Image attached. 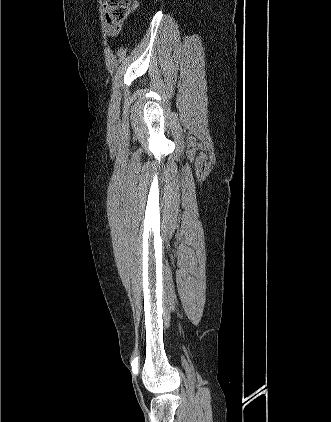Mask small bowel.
Here are the masks:
<instances>
[{
	"label": "small bowel",
	"mask_w": 331,
	"mask_h": 422,
	"mask_svg": "<svg viewBox=\"0 0 331 422\" xmlns=\"http://www.w3.org/2000/svg\"><path fill=\"white\" fill-rule=\"evenodd\" d=\"M104 8H105V10L108 9L106 3L104 4ZM107 20H108L109 35H111L113 37L117 36L122 30V24L112 21L110 19V17H108V16H107Z\"/></svg>",
	"instance_id": "small-bowel-1"
}]
</instances>
